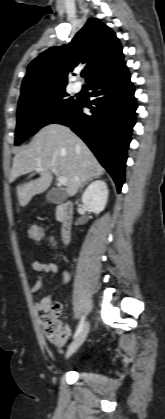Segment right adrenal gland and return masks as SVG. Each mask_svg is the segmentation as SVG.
Wrapping results in <instances>:
<instances>
[{
  "label": "right adrenal gland",
  "instance_id": "2a0ac1e0",
  "mask_svg": "<svg viewBox=\"0 0 165 419\" xmlns=\"http://www.w3.org/2000/svg\"><path fill=\"white\" fill-rule=\"evenodd\" d=\"M94 178H97V177H94ZM94 178H91V179H89L88 181H86V182H84L81 186H80V188H81V190H82V188L88 183V182H90V181H92Z\"/></svg>",
  "mask_w": 165,
  "mask_h": 419
}]
</instances>
